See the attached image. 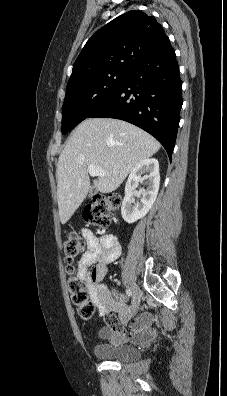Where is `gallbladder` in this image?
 <instances>
[{
  "label": "gallbladder",
  "instance_id": "gallbladder-1",
  "mask_svg": "<svg viewBox=\"0 0 227 396\" xmlns=\"http://www.w3.org/2000/svg\"><path fill=\"white\" fill-rule=\"evenodd\" d=\"M97 192V189L95 187L90 188V195H93Z\"/></svg>",
  "mask_w": 227,
  "mask_h": 396
}]
</instances>
